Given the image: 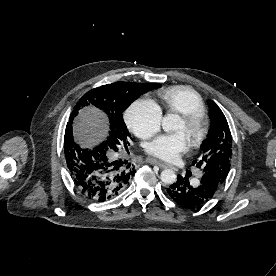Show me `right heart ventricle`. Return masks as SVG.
<instances>
[{"label": "right heart ventricle", "mask_w": 276, "mask_h": 276, "mask_svg": "<svg viewBox=\"0 0 276 276\" xmlns=\"http://www.w3.org/2000/svg\"><path fill=\"white\" fill-rule=\"evenodd\" d=\"M161 101L169 113L185 114L193 111L203 112L204 102L201 96L186 86H175L159 92Z\"/></svg>", "instance_id": "obj_1"}]
</instances>
